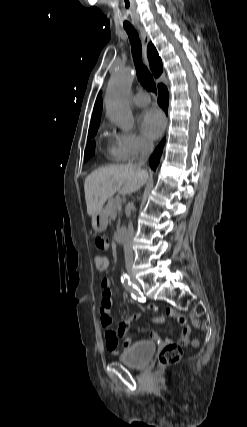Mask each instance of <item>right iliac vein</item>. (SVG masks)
<instances>
[{
    "mask_svg": "<svg viewBox=\"0 0 247 427\" xmlns=\"http://www.w3.org/2000/svg\"><path fill=\"white\" fill-rule=\"evenodd\" d=\"M133 283H134L136 286H140V284H139L136 280H133Z\"/></svg>",
    "mask_w": 247,
    "mask_h": 427,
    "instance_id": "right-iliac-vein-1",
    "label": "right iliac vein"
}]
</instances>
